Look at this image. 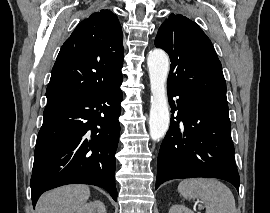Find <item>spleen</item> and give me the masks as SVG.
Instances as JSON below:
<instances>
[{
  "label": "spleen",
  "mask_w": 270,
  "mask_h": 213,
  "mask_svg": "<svg viewBox=\"0 0 270 213\" xmlns=\"http://www.w3.org/2000/svg\"><path fill=\"white\" fill-rule=\"evenodd\" d=\"M178 191L187 200H202L206 213H236L235 199L231 190L219 180L185 179L179 183Z\"/></svg>",
  "instance_id": "spleen-1"
}]
</instances>
